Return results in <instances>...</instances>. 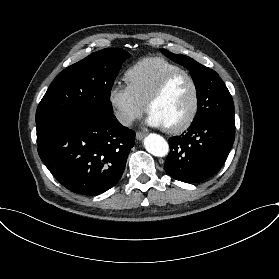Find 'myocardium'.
<instances>
[{
  "mask_svg": "<svg viewBox=\"0 0 279 279\" xmlns=\"http://www.w3.org/2000/svg\"><path fill=\"white\" fill-rule=\"evenodd\" d=\"M182 76H185L190 80L194 89V100H193L191 111L188 114V116L184 119L183 122L174 126H165V130L168 133H172V134L180 133L188 129L191 126V124L194 122L198 114L199 107H200V89L194 76L189 71L186 70L177 71L167 75L161 81V83L155 88V90L151 93V95L147 100V110L148 112H150V108L152 104L156 102L158 99H160L168 90V88L171 86V84Z\"/></svg>",
  "mask_w": 279,
  "mask_h": 279,
  "instance_id": "obj_1",
  "label": "myocardium"
}]
</instances>
